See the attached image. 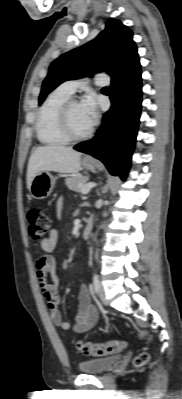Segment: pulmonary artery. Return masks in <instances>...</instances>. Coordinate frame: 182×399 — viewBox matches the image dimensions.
<instances>
[{
	"label": "pulmonary artery",
	"instance_id": "obj_1",
	"mask_svg": "<svg viewBox=\"0 0 182 399\" xmlns=\"http://www.w3.org/2000/svg\"><path fill=\"white\" fill-rule=\"evenodd\" d=\"M96 83L99 85H106L108 83L106 75L103 73H97L95 77ZM86 81L83 79H72L63 82L60 85V88L64 91L68 92L69 94H73L78 87L84 85Z\"/></svg>",
	"mask_w": 182,
	"mask_h": 399
}]
</instances>
